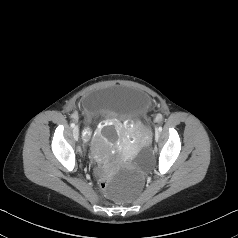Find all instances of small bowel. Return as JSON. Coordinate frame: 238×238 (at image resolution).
<instances>
[{"mask_svg":"<svg viewBox=\"0 0 238 238\" xmlns=\"http://www.w3.org/2000/svg\"><path fill=\"white\" fill-rule=\"evenodd\" d=\"M73 118H76V115H72Z\"/></svg>","mask_w":238,"mask_h":238,"instance_id":"small-bowel-1","label":"small bowel"}]
</instances>
